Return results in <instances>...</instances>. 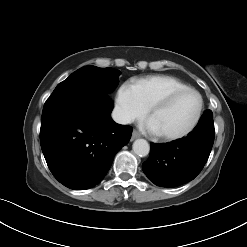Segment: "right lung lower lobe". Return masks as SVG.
<instances>
[{"label": "right lung lower lobe", "mask_w": 247, "mask_h": 247, "mask_svg": "<svg viewBox=\"0 0 247 247\" xmlns=\"http://www.w3.org/2000/svg\"><path fill=\"white\" fill-rule=\"evenodd\" d=\"M107 94L71 92L45 102L40 143L47 165L64 186L84 190L98 184L132 128L115 123Z\"/></svg>", "instance_id": "98d812e1"}]
</instances>
